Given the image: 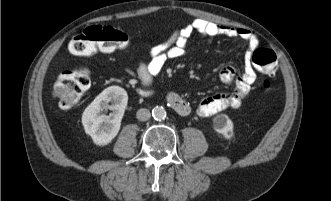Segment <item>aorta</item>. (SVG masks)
<instances>
[{
	"mask_svg": "<svg viewBox=\"0 0 331 201\" xmlns=\"http://www.w3.org/2000/svg\"><path fill=\"white\" fill-rule=\"evenodd\" d=\"M152 116L155 120H164L167 116L166 109L163 106H156L152 110Z\"/></svg>",
	"mask_w": 331,
	"mask_h": 201,
	"instance_id": "obj_1",
	"label": "aorta"
}]
</instances>
